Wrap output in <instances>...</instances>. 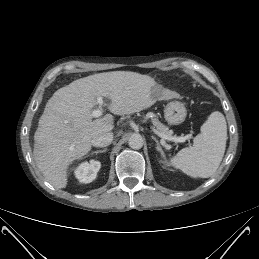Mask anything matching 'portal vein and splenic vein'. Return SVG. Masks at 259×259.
Returning a JSON list of instances; mask_svg holds the SVG:
<instances>
[{
  "label": "portal vein and splenic vein",
  "instance_id": "1",
  "mask_svg": "<svg viewBox=\"0 0 259 259\" xmlns=\"http://www.w3.org/2000/svg\"><path fill=\"white\" fill-rule=\"evenodd\" d=\"M97 102L100 106L103 105V99L102 97H98L97 98ZM102 115V111L100 109H96L92 111V116L93 117H99ZM153 132L159 136L160 138H162L163 141L168 140V141H173V142H185L186 141V137H171V136H167L164 135L162 133H160L159 131H157L156 129L152 128ZM168 149H170V146H167Z\"/></svg>",
  "mask_w": 259,
  "mask_h": 259
}]
</instances>
